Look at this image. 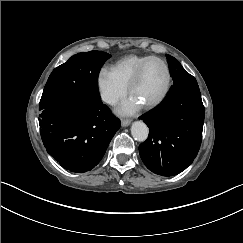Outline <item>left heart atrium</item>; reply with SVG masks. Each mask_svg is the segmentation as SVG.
<instances>
[{
  "label": "left heart atrium",
  "mask_w": 243,
  "mask_h": 243,
  "mask_svg": "<svg viewBox=\"0 0 243 243\" xmlns=\"http://www.w3.org/2000/svg\"><path fill=\"white\" fill-rule=\"evenodd\" d=\"M142 108L143 104L137 98L130 95L116 107V111L120 114L133 115L139 112Z\"/></svg>",
  "instance_id": "39dd6f15"
}]
</instances>
